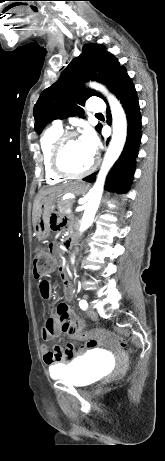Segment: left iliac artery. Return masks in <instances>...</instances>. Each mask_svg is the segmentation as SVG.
<instances>
[{"label":"left iliac artery","mask_w":165,"mask_h":461,"mask_svg":"<svg viewBox=\"0 0 165 461\" xmlns=\"http://www.w3.org/2000/svg\"><path fill=\"white\" fill-rule=\"evenodd\" d=\"M79 306H80L81 309L85 310V309H87L88 304H87L86 300H81L80 303H79Z\"/></svg>","instance_id":"44dca946"}]
</instances>
